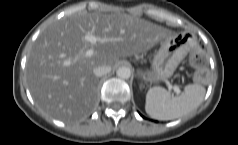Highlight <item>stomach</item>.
Instances as JSON below:
<instances>
[{
	"label": "stomach",
	"mask_w": 238,
	"mask_h": 145,
	"mask_svg": "<svg viewBox=\"0 0 238 145\" xmlns=\"http://www.w3.org/2000/svg\"><path fill=\"white\" fill-rule=\"evenodd\" d=\"M195 36L191 32H180L178 35L163 39L156 51L150 70H139V76L151 82H161L170 78L180 61L187 58L194 49Z\"/></svg>",
	"instance_id": "obj_1"
}]
</instances>
